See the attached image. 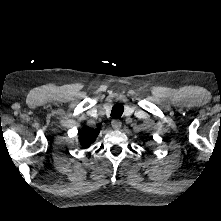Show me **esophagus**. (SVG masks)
I'll return each instance as SVG.
<instances>
[{
  "instance_id": "obj_1",
  "label": "esophagus",
  "mask_w": 221,
  "mask_h": 221,
  "mask_svg": "<svg viewBox=\"0 0 221 221\" xmlns=\"http://www.w3.org/2000/svg\"><path fill=\"white\" fill-rule=\"evenodd\" d=\"M111 124H112V127H113L114 130H119L122 126L121 121L117 120V119L112 120Z\"/></svg>"
}]
</instances>
